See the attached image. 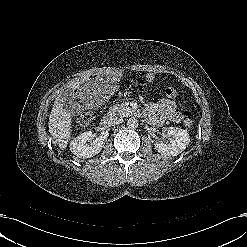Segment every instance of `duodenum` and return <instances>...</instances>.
Returning a JSON list of instances; mask_svg holds the SVG:
<instances>
[{
  "label": "duodenum",
  "mask_w": 247,
  "mask_h": 247,
  "mask_svg": "<svg viewBox=\"0 0 247 247\" xmlns=\"http://www.w3.org/2000/svg\"><path fill=\"white\" fill-rule=\"evenodd\" d=\"M112 121V116L111 115H107L104 117V119L101 122V126H107L110 122Z\"/></svg>",
  "instance_id": "obj_1"
}]
</instances>
